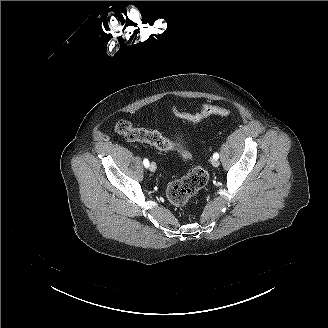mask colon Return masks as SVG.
I'll return each instance as SVG.
<instances>
[{
	"instance_id": "obj_1",
	"label": "colon",
	"mask_w": 328,
	"mask_h": 328,
	"mask_svg": "<svg viewBox=\"0 0 328 328\" xmlns=\"http://www.w3.org/2000/svg\"><path fill=\"white\" fill-rule=\"evenodd\" d=\"M173 112L177 117L191 123H199L212 115L228 116L230 114L229 109L213 104L204 105L197 113L186 112L178 106H174ZM115 129L129 141L147 143L163 151L177 149L175 142L162 136L159 132L135 127L125 119L118 121ZM182 157L185 160H189L191 155L188 152H184ZM207 182V171L201 166H195L184 177L168 185V200L175 207H183Z\"/></svg>"
}]
</instances>
